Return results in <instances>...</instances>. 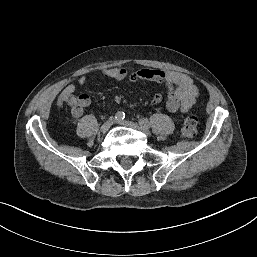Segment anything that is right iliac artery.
Wrapping results in <instances>:
<instances>
[{"instance_id":"82829eb1","label":"right iliac artery","mask_w":257,"mask_h":257,"mask_svg":"<svg viewBox=\"0 0 257 257\" xmlns=\"http://www.w3.org/2000/svg\"><path fill=\"white\" fill-rule=\"evenodd\" d=\"M115 118L117 120H123L125 118V113L124 112H117L115 115Z\"/></svg>"}]
</instances>
